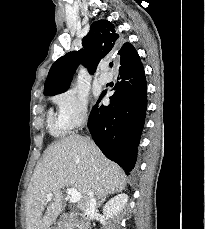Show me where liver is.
I'll list each match as a JSON object with an SVG mask.
<instances>
[{"mask_svg":"<svg viewBox=\"0 0 205 229\" xmlns=\"http://www.w3.org/2000/svg\"><path fill=\"white\" fill-rule=\"evenodd\" d=\"M125 183L123 170L92 140L79 135L63 138L45 150L32 175L25 202L27 229H50L62 212L65 187L81 193L78 206L84 210L90 190L101 199L122 191ZM49 193L50 200L46 197Z\"/></svg>","mask_w":205,"mask_h":229,"instance_id":"liver-1","label":"liver"}]
</instances>
